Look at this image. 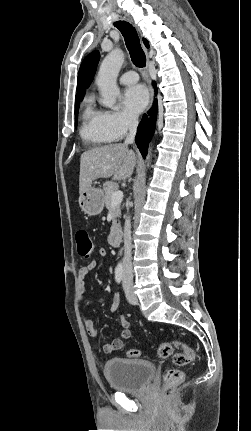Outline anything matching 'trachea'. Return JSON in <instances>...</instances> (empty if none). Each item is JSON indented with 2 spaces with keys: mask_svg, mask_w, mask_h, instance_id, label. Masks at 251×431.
<instances>
[{
  "mask_svg": "<svg viewBox=\"0 0 251 431\" xmlns=\"http://www.w3.org/2000/svg\"><path fill=\"white\" fill-rule=\"evenodd\" d=\"M115 26L120 30L124 37L125 44L133 64L136 67L144 68L146 66V56L141 47L136 29L125 21H118L115 23Z\"/></svg>",
  "mask_w": 251,
  "mask_h": 431,
  "instance_id": "obj_1",
  "label": "trachea"
}]
</instances>
